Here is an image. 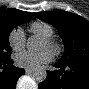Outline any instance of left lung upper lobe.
<instances>
[{
	"instance_id": "left-lung-upper-lobe-1",
	"label": "left lung upper lobe",
	"mask_w": 89,
	"mask_h": 89,
	"mask_svg": "<svg viewBox=\"0 0 89 89\" xmlns=\"http://www.w3.org/2000/svg\"><path fill=\"white\" fill-rule=\"evenodd\" d=\"M34 14L38 19L52 24L61 35L65 52L60 63L69 64L78 60H89V22L87 20L62 10Z\"/></svg>"
}]
</instances>
